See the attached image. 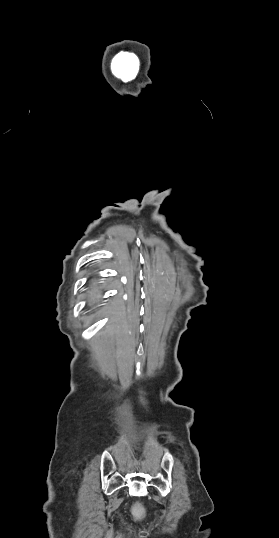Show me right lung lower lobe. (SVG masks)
Listing matches in <instances>:
<instances>
[{"label":"right lung lower lobe","instance_id":"obj_1","mask_svg":"<svg viewBox=\"0 0 279 538\" xmlns=\"http://www.w3.org/2000/svg\"><path fill=\"white\" fill-rule=\"evenodd\" d=\"M88 291L92 298L93 311L96 312L100 309V302H101V300H99L101 289H100V283L97 282V278H93L89 281Z\"/></svg>","mask_w":279,"mask_h":538}]
</instances>
